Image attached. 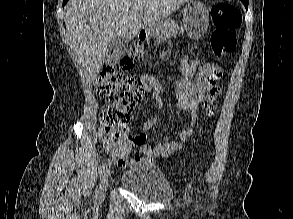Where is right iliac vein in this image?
<instances>
[{
	"label": "right iliac vein",
	"mask_w": 293,
	"mask_h": 219,
	"mask_svg": "<svg viewBox=\"0 0 293 219\" xmlns=\"http://www.w3.org/2000/svg\"><path fill=\"white\" fill-rule=\"evenodd\" d=\"M108 183H109V173L106 172L104 173L103 178L101 180L100 191H99L100 195H103L106 192Z\"/></svg>",
	"instance_id": "right-iliac-vein-1"
}]
</instances>
